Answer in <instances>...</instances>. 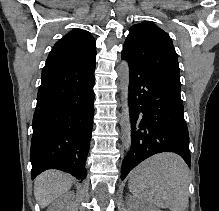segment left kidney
Returning <instances> with one entry per match:
<instances>
[{
    "label": "left kidney",
    "instance_id": "left-kidney-1",
    "mask_svg": "<svg viewBox=\"0 0 219 211\" xmlns=\"http://www.w3.org/2000/svg\"><path fill=\"white\" fill-rule=\"evenodd\" d=\"M135 211H160V209L156 205H137Z\"/></svg>",
    "mask_w": 219,
    "mask_h": 211
}]
</instances>
